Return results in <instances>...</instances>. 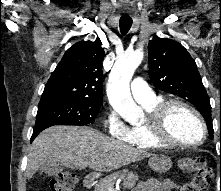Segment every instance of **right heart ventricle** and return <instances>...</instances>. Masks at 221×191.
<instances>
[{"label":"right heart ventricle","instance_id":"right-heart-ventricle-1","mask_svg":"<svg viewBox=\"0 0 221 191\" xmlns=\"http://www.w3.org/2000/svg\"><path fill=\"white\" fill-rule=\"evenodd\" d=\"M161 98H155L149 103H141L148 114L152 112L154 107L161 102ZM128 144L143 150H150L162 147L156 141L153 140L151 136V130L146 122L134 125L129 128V136L125 140Z\"/></svg>","mask_w":221,"mask_h":191}]
</instances>
